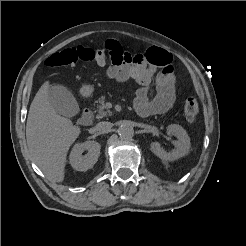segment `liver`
Returning a JSON list of instances; mask_svg holds the SVG:
<instances>
[{"label":"liver","mask_w":246,"mask_h":246,"mask_svg":"<svg viewBox=\"0 0 246 246\" xmlns=\"http://www.w3.org/2000/svg\"><path fill=\"white\" fill-rule=\"evenodd\" d=\"M49 81L43 83L29 109L26 140L32 160L52 182L64 180L69 148L81 129L50 105Z\"/></svg>","instance_id":"obj_1"}]
</instances>
